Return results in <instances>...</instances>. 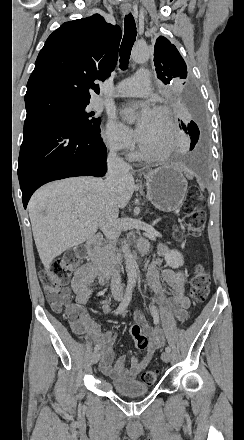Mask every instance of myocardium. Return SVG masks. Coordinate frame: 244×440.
Instances as JSON below:
<instances>
[{
  "mask_svg": "<svg viewBox=\"0 0 244 440\" xmlns=\"http://www.w3.org/2000/svg\"><path fill=\"white\" fill-rule=\"evenodd\" d=\"M153 111L165 113L167 115L168 121H169L168 127L165 132V136L161 139V141L158 142V144H160L164 147V151L160 155H155L152 157L153 161L163 162V161H166L170 155L169 136H170V132H171V128H172L173 112L170 110V108H168L167 106H164V105L155 106L153 108ZM137 141L139 143L141 142V144L143 146H152V145L147 144L146 139L144 137H142V140L139 138Z\"/></svg>",
  "mask_w": 244,
  "mask_h": 440,
  "instance_id": "myocardium-1",
  "label": "myocardium"
}]
</instances>
